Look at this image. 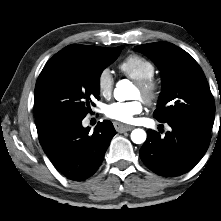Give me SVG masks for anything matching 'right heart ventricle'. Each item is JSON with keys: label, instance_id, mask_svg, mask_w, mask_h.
<instances>
[{"label": "right heart ventricle", "instance_id": "e07e8e85", "mask_svg": "<svg viewBox=\"0 0 221 221\" xmlns=\"http://www.w3.org/2000/svg\"><path fill=\"white\" fill-rule=\"evenodd\" d=\"M119 70L126 77L138 81L153 77L155 74V65L143 56L130 54L120 62Z\"/></svg>", "mask_w": 221, "mask_h": 221}]
</instances>
